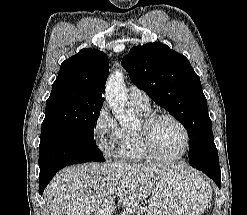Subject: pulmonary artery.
<instances>
[{
	"instance_id": "obj_1",
	"label": "pulmonary artery",
	"mask_w": 247,
	"mask_h": 215,
	"mask_svg": "<svg viewBox=\"0 0 247 215\" xmlns=\"http://www.w3.org/2000/svg\"><path fill=\"white\" fill-rule=\"evenodd\" d=\"M129 100L130 104L134 107L140 109H148L149 108V97L143 90L131 86L129 88Z\"/></svg>"
}]
</instances>
